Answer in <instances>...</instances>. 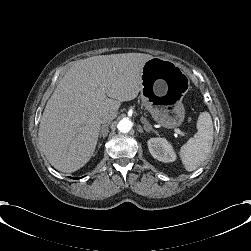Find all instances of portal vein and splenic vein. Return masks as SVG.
<instances>
[{"label": "portal vein and splenic vein", "instance_id": "obj_1", "mask_svg": "<svg viewBox=\"0 0 251 251\" xmlns=\"http://www.w3.org/2000/svg\"><path fill=\"white\" fill-rule=\"evenodd\" d=\"M174 130L176 134H180V135L183 134L179 129H177V126H174Z\"/></svg>", "mask_w": 251, "mask_h": 251}]
</instances>
